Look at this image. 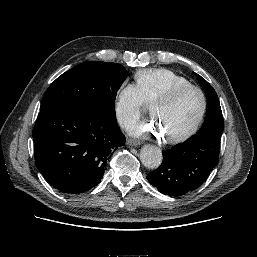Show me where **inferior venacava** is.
<instances>
[{
	"mask_svg": "<svg viewBox=\"0 0 257 257\" xmlns=\"http://www.w3.org/2000/svg\"><path fill=\"white\" fill-rule=\"evenodd\" d=\"M132 124L133 122L129 118H123L120 120V125L125 129H128L129 127H131Z\"/></svg>",
	"mask_w": 257,
	"mask_h": 257,
	"instance_id": "1",
	"label": "inferior vena cava"
}]
</instances>
